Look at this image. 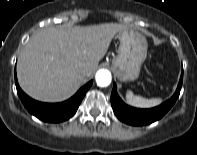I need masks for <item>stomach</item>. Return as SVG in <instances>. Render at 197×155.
I'll use <instances>...</instances> for the list:
<instances>
[{"label":"stomach","mask_w":197,"mask_h":155,"mask_svg":"<svg viewBox=\"0 0 197 155\" xmlns=\"http://www.w3.org/2000/svg\"><path fill=\"white\" fill-rule=\"evenodd\" d=\"M118 38L120 46L112 61L113 71L120 81H134L147 56V41L143 35L128 29L120 31Z\"/></svg>","instance_id":"0dacf381"}]
</instances>
